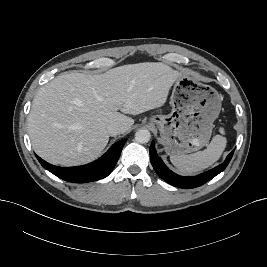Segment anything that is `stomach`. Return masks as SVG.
I'll return each instance as SVG.
<instances>
[{
    "instance_id": "obj_1",
    "label": "stomach",
    "mask_w": 267,
    "mask_h": 267,
    "mask_svg": "<svg viewBox=\"0 0 267 267\" xmlns=\"http://www.w3.org/2000/svg\"><path fill=\"white\" fill-rule=\"evenodd\" d=\"M221 103L222 97L216 89L190 73H178L170 98L171 113L150 118L160 131L166 153L184 155L206 146Z\"/></svg>"
}]
</instances>
